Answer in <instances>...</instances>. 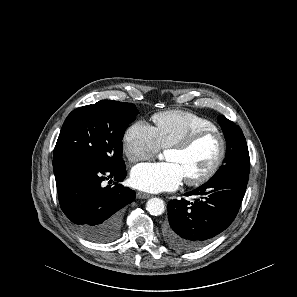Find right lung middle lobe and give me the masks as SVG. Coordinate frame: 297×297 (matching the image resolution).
<instances>
[{
  "instance_id": "right-lung-middle-lobe-1",
  "label": "right lung middle lobe",
  "mask_w": 297,
  "mask_h": 297,
  "mask_svg": "<svg viewBox=\"0 0 297 297\" xmlns=\"http://www.w3.org/2000/svg\"><path fill=\"white\" fill-rule=\"evenodd\" d=\"M138 113L134 104L110 100L75 109L62 126L53 158H79L107 169L125 168L122 138Z\"/></svg>"
}]
</instances>
